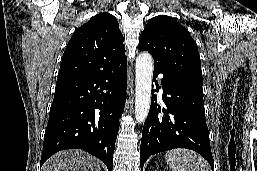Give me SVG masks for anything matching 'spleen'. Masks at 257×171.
Segmentation results:
<instances>
[{"instance_id": "obj_1", "label": "spleen", "mask_w": 257, "mask_h": 171, "mask_svg": "<svg viewBox=\"0 0 257 171\" xmlns=\"http://www.w3.org/2000/svg\"><path fill=\"white\" fill-rule=\"evenodd\" d=\"M165 159L172 171H210L206 160L192 150H171Z\"/></svg>"}]
</instances>
